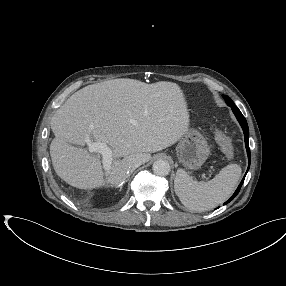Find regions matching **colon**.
Wrapping results in <instances>:
<instances>
[{
	"instance_id": "5ec220e1",
	"label": "colon",
	"mask_w": 286,
	"mask_h": 286,
	"mask_svg": "<svg viewBox=\"0 0 286 286\" xmlns=\"http://www.w3.org/2000/svg\"><path fill=\"white\" fill-rule=\"evenodd\" d=\"M215 139L225 157L228 159L233 158L235 150L233 143L231 139L228 137V135L221 130H217L215 132Z\"/></svg>"
}]
</instances>
